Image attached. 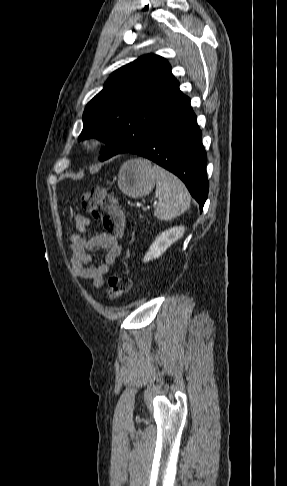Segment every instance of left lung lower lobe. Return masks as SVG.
Returning a JSON list of instances; mask_svg holds the SVG:
<instances>
[{
	"instance_id": "left-lung-lower-lobe-1",
	"label": "left lung lower lobe",
	"mask_w": 287,
	"mask_h": 486,
	"mask_svg": "<svg viewBox=\"0 0 287 486\" xmlns=\"http://www.w3.org/2000/svg\"><path fill=\"white\" fill-rule=\"evenodd\" d=\"M129 153L152 160L177 175L202 210L209 183L206 152L190 98L184 97Z\"/></svg>"
}]
</instances>
